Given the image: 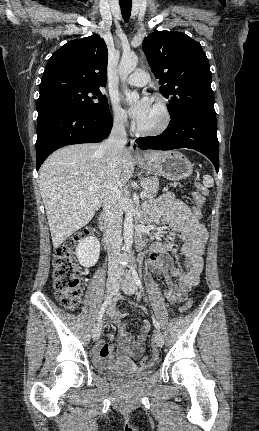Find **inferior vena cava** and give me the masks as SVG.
<instances>
[{"mask_svg": "<svg viewBox=\"0 0 259 431\" xmlns=\"http://www.w3.org/2000/svg\"><path fill=\"white\" fill-rule=\"evenodd\" d=\"M126 118L121 116L114 120L111 133L98 148L104 152L108 169L115 173L121 163L122 152L127 143L125 131ZM121 190L118 185L111 187L103 200V209L107 217L106 246L110 264H115L122 244V205Z\"/></svg>", "mask_w": 259, "mask_h": 431, "instance_id": "inferior-vena-cava-1", "label": "inferior vena cava"}]
</instances>
